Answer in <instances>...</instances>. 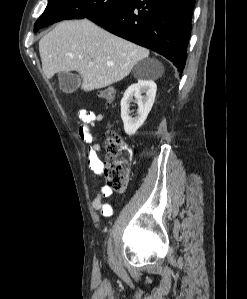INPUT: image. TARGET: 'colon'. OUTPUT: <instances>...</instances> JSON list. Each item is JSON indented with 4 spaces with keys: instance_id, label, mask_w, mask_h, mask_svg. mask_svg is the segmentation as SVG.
Listing matches in <instances>:
<instances>
[{
    "instance_id": "colon-1",
    "label": "colon",
    "mask_w": 247,
    "mask_h": 299,
    "mask_svg": "<svg viewBox=\"0 0 247 299\" xmlns=\"http://www.w3.org/2000/svg\"><path fill=\"white\" fill-rule=\"evenodd\" d=\"M99 96L107 103H111L115 91L113 88H105L99 92ZM104 147L105 159L101 174L110 189L123 193L130 182L129 161L132 158V151L122 137L112 129L106 133Z\"/></svg>"
}]
</instances>
